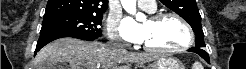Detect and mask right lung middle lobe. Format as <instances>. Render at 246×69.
<instances>
[{
  "label": "right lung middle lobe",
  "instance_id": "1",
  "mask_svg": "<svg viewBox=\"0 0 246 69\" xmlns=\"http://www.w3.org/2000/svg\"><path fill=\"white\" fill-rule=\"evenodd\" d=\"M103 15L62 14L44 17L40 35L73 34L81 37H98L102 35L98 27Z\"/></svg>",
  "mask_w": 246,
  "mask_h": 69
}]
</instances>
